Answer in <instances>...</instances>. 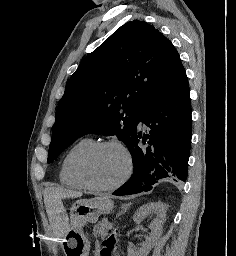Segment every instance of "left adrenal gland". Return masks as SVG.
<instances>
[{
  "mask_svg": "<svg viewBox=\"0 0 236 256\" xmlns=\"http://www.w3.org/2000/svg\"><path fill=\"white\" fill-rule=\"evenodd\" d=\"M122 208H123V206H122ZM123 210H124V208H123ZM120 214H123V212H119V214H117V216H120ZM117 216H116V218H117Z\"/></svg>",
  "mask_w": 236,
  "mask_h": 256,
  "instance_id": "a2214340",
  "label": "left adrenal gland"
}]
</instances>
